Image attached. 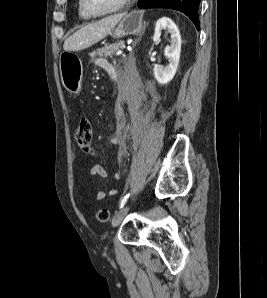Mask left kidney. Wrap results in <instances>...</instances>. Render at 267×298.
I'll return each instance as SVG.
<instances>
[{
	"label": "left kidney",
	"instance_id": "obj_1",
	"mask_svg": "<svg viewBox=\"0 0 267 298\" xmlns=\"http://www.w3.org/2000/svg\"><path fill=\"white\" fill-rule=\"evenodd\" d=\"M164 29H167V31L171 34V43L164 51L169 64L165 67L163 65H156L154 67V76L158 83L163 85L169 83L176 74L180 60L182 43L178 27L168 17H163L156 22L155 33L153 36L154 42H158L160 40L161 32Z\"/></svg>",
	"mask_w": 267,
	"mask_h": 298
}]
</instances>
